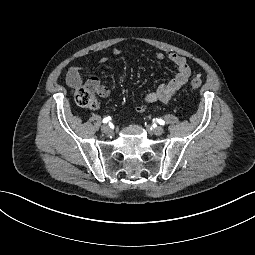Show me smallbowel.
<instances>
[{
    "label": "small bowel",
    "instance_id": "obj_1",
    "mask_svg": "<svg viewBox=\"0 0 255 255\" xmlns=\"http://www.w3.org/2000/svg\"><path fill=\"white\" fill-rule=\"evenodd\" d=\"M122 53V50L119 48H115L113 50V54L118 56ZM155 57L159 60L167 59L170 61L175 67L177 68L176 75L167 83L161 84L156 88V90L147 93L144 96V102L146 104L161 102L164 104L169 103L175 94L187 83L190 75H191V68L186 60L185 57L176 54H163L157 53ZM108 60L107 57H102L100 59V63L104 64ZM66 82L71 88H78L84 82V74L83 69L81 66H73L68 69L66 74ZM87 84L96 90V92L101 97H106L109 94V90L105 87L99 78L91 77L87 80ZM138 112H144L146 110V105H139L137 106Z\"/></svg>",
    "mask_w": 255,
    "mask_h": 255
}]
</instances>
